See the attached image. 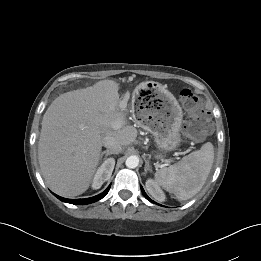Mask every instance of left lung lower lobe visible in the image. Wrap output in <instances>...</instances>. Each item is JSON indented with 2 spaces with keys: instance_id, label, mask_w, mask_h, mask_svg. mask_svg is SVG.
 I'll return each mask as SVG.
<instances>
[{
  "instance_id": "0a47b994",
  "label": "left lung lower lobe",
  "mask_w": 261,
  "mask_h": 261,
  "mask_svg": "<svg viewBox=\"0 0 261 261\" xmlns=\"http://www.w3.org/2000/svg\"><path fill=\"white\" fill-rule=\"evenodd\" d=\"M141 191H142L143 195H144L149 201H151V202H153V203H155V204H158V203L152 201V200L147 196V194L145 193V191H144V189L142 188V186H141Z\"/></svg>"
}]
</instances>
